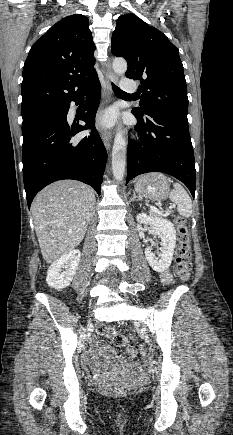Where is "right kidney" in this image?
<instances>
[{"label": "right kidney", "instance_id": "right-kidney-1", "mask_svg": "<svg viewBox=\"0 0 233 435\" xmlns=\"http://www.w3.org/2000/svg\"><path fill=\"white\" fill-rule=\"evenodd\" d=\"M80 257L79 250H72L53 262L47 271V284L57 290L69 286L78 269Z\"/></svg>", "mask_w": 233, "mask_h": 435}]
</instances>
